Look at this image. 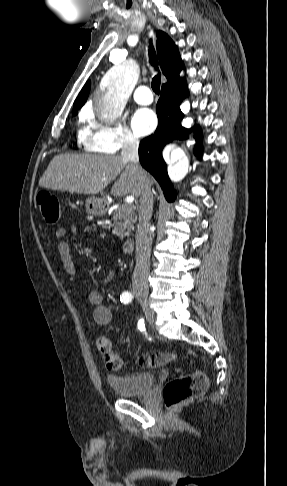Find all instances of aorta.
<instances>
[{"mask_svg":"<svg viewBox=\"0 0 287 486\" xmlns=\"http://www.w3.org/2000/svg\"><path fill=\"white\" fill-rule=\"evenodd\" d=\"M131 88L128 74L110 73L96 97L95 112L98 118L105 122L116 120L123 112ZM171 159L178 161L170 164L168 168L169 177L173 182H179L188 172V161L180 149H174L171 152Z\"/></svg>","mask_w":287,"mask_h":486,"instance_id":"obj_1","label":"aorta"}]
</instances>
